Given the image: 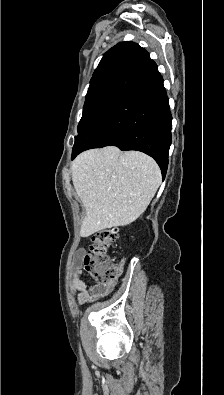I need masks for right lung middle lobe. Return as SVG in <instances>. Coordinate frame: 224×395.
<instances>
[{
  "mask_svg": "<svg viewBox=\"0 0 224 395\" xmlns=\"http://www.w3.org/2000/svg\"><path fill=\"white\" fill-rule=\"evenodd\" d=\"M120 70L107 73L97 79L91 80L83 108V115L78 125V136L84 130L88 120L111 89ZM75 137V141L78 138Z\"/></svg>",
  "mask_w": 224,
  "mask_h": 395,
  "instance_id": "obj_1",
  "label": "right lung middle lobe"
}]
</instances>
